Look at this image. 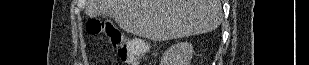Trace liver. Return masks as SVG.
I'll return each instance as SVG.
<instances>
[{"label":"liver","mask_w":309,"mask_h":65,"mask_svg":"<svg viewBox=\"0 0 309 65\" xmlns=\"http://www.w3.org/2000/svg\"><path fill=\"white\" fill-rule=\"evenodd\" d=\"M221 8L220 0H87L85 13L113 18L133 35L165 41L217 29Z\"/></svg>","instance_id":"liver-1"}]
</instances>
